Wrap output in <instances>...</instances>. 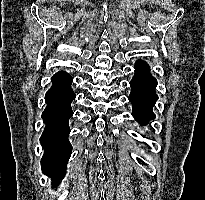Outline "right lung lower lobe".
Wrapping results in <instances>:
<instances>
[{
  "label": "right lung lower lobe",
  "instance_id": "98d812e1",
  "mask_svg": "<svg viewBox=\"0 0 205 200\" xmlns=\"http://www.w3.org/2000/svg\"><path fill=\"white\" fill-rule=\"evenodd\" d=\"M53 85L45 95L47 107L42 113L46 124L40 138L45 149L41 159L42 172L51 177L54 185H58L65 175V167L72 152L68 135L69 118L73 115L71 102L75 93L71 89V76L66 72H58L51 79Z\"/></svg>",
  "mask_w": 205,
  "mask_h": 200
}]
</instances>
